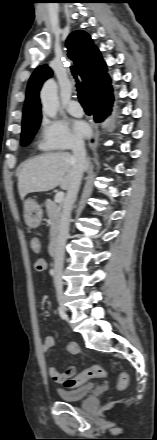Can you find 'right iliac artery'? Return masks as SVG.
<instances>
[{"instance_id":"82829eb1","label":"right iliac artery","mask_w":157,"mask_h":440,"mask_svg":"<svg viewBox=\"0 0 157 440\" xmlns=\"http://www.w3.org/2000/svg\"><path fill=\"white\" fill-rule=\"evenodd\" d=\"M58 312L62 319H66V315L61 307H58Z\"/></svg>"}]
</instances>
